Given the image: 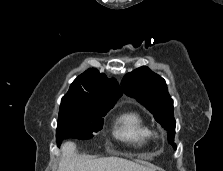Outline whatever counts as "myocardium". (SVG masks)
Instances as JSON below:
<instances>
[{
    "label": "myocardium",
    "mask_w": 223,
    "mask_h": 171,
    "mask_svg": "<svg viewBox=\"0 0 223 171\" xmlns=\"http://www.w3.org/2000/svg\"><path fill=\"white\" fill-rule=\"evenodd\" d=\"M153 135H154L155 137H159V134L156 133V132H155Z\"/></svg>",
    "instance_id": "1"
}]
</instances>
